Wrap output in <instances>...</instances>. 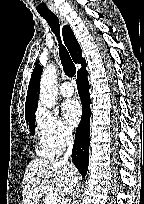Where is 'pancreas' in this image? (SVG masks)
I'll list each match as a JSON object with an SVG mask.
<instances>
[{
	"instance_id": "pancreas-1",
	"label": "pancreas",
	"mask_w": 144,
	"mask_h": 204,
	"mask_svg": "<svg viewBox=\"0 0 144 204\" xmlns=\"http://www.w3.org/2000/svg\"><path fill=\"white\" fill-rule=\"evenodd\" d=\"M43 204H45V200H43Z\"/></svg>"
}]
</instances>
